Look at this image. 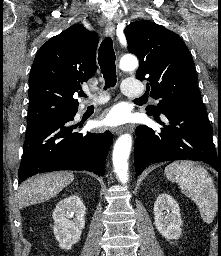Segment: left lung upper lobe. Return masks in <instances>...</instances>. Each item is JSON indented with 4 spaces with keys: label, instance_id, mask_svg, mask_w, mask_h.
I'll use <instances>...</instances> for the list:
<instances>
[{
    "label": "left lung upper lobe",
    "instance_id": "obj_1",
    "mask_svg": "<svg viewBox=\"0 0 221 256\" xmlns=\"http://www.w3.org/2000/svg\"><path fill=\"white\" fill-rule=\"evenodd\" d=\"M128 51L139 57L136 78L147 80V90L157 106L147 113L159 115L170 108L205 109L197 89V74L191 54L174 32L156 23L142 20L124 30Z\"/></svg>",
    "mask_w": 221,
    "mask_h": 256
}]
</instances>
